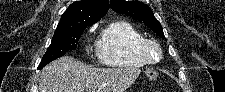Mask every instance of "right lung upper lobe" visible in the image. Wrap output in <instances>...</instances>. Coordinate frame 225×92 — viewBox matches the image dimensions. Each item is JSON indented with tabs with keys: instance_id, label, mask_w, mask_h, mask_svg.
Returning a JSON list of instances; mask_svg holds the SVG:
<instances>
[{
	"instance_id": "cb5924a9",
	"label": "right lung upper lobe",
	"mask_w": 225,
	"mask_h": 92,
	"mask_svg": "<svg viewBox=\"0 0 225 92\" xmlns=\"http://www.w3.org/2000/svg\"><path fill=\"white\" fill-rule=\"evenodd\" d=\"M109 10L108 0H81L72 3L61 15L57 28H73L99 21Z\"/></svg>"
}]
</instances>
